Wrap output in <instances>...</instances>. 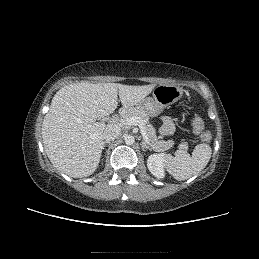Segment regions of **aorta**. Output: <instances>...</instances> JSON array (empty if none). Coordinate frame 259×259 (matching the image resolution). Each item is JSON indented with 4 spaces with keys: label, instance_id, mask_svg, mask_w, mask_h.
Instances as JSON below:
<instances>
[{
    "label": "aorta",
    "instance_id": "762f6f07",
    "mask_svg": "<svg viewBox=\"0 0 259 259\" xmlns=\"http://www.w3.org/2000/svg\"><path fill=\"white\" fill-rule=\"evenodd\" d=\"M124 141L127 145H133L135 142V138L132 135H127L125 136Z\"/></svg>",
    "mask_w": 259,
    "mask_h": 259
}]
</instances>
